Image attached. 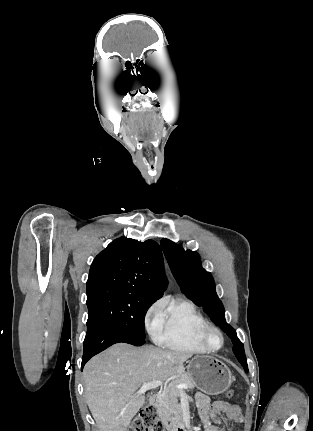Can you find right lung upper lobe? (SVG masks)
I'll use <instances>...</instances> for the list:
<instances>
[{"mask_svg":"<svg viewBox=\"0 0 313 431\" xmlns=\"http://www.w3.org/2000/svg\"><path fill=\"white\" fill-rule=\"evenodd\" d=\"M166 286L158 243L121 237L93 260L87 280V297L103 291L124 290L157 300Z\"/></svg>","mask_w":313,"mask_h":431,"instance_id":"cb5924a9","label":"right lung upper lobe"}]
</instances>
